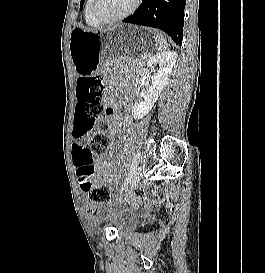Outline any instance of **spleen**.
I'll return each instance as SVG.
<instances>
[{"label":"spleen","mask_w":265,"mask_h":273,"mask_svg":"<svg viewBox=\"0 0 265 273\" xmlns=\"http://www.w3.org/2000/svg\"><path fill=\"white\" fill-rule=\"evenodd\" d=\"M156 48L159 51L168 49V43L162 33L157 32L155 34Z\"/></svg>","instance_id":"1"}]
</instances>
